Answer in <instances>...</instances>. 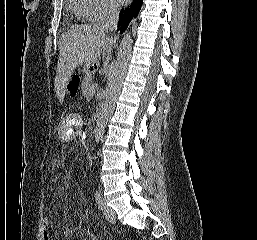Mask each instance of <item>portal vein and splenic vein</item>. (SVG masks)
<instances>
[{
    "mask_svg": "<svg viewBox=\"0 0 257 240\" xmlns=\"http://www.w3.org/2000/svg\"><path fill=\"white\" fill-rule=\"evenodd\" d=\"M95 89H96V86H92V87L90 88V90H89V94H90V95H93L94 92H95Z\"/></svg>",
    "mask_w": 257,
    "mask_h": 240,
    "instance_id": "1",
    "label": "portal vein and splenic vein"
}]
</instances>
